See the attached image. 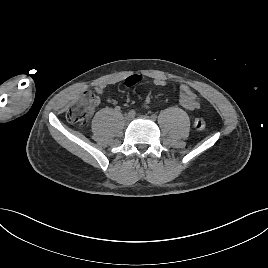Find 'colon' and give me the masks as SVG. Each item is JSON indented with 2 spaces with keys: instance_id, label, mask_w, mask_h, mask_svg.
I'll use <instances>...</instances> for the list:
<instances>
[{
  "instance_id": "colon-1",
  "label": "colon",
  "mask_w": 268,
  "mask_h": 268,
  "mask_svg": "<svg viewBox=\"0 0 268 268\" xmlns=\"http://www.w3.org/2000/svg\"><path fill=\"white\" fill-rule=\"evenodd\" d=\"M98 103L99 97L97 95L91 91L84 92L81 99L66 109L67 120L80 127L85 126ZM193 126L197 131H203L206 123L204 119L196 118Z\"/></svg>"
}]
</instances>
